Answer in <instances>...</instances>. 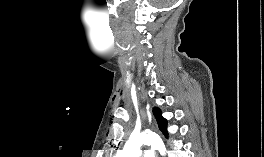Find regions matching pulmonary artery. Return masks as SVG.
I'll return each instance as SVG.
<instances>
[{"instance_id": "e3ab8cb5", "label": "pulmonary artery", "mask_w": 264, "mask_h": 157, "mask_svg": "<svg viewBox=\"0 0 264 157\" xmlns=\"http://www.w3.org/2000/svg\"><path fill=\"white\" fill-rule=\"evenodd\" d=\"M143 157H154V152L152 150H146Z\"/></svg>"}]
</instances>
